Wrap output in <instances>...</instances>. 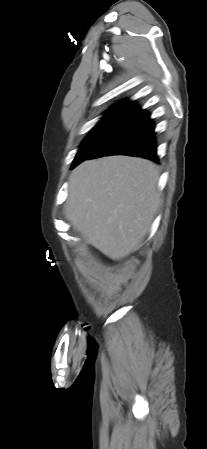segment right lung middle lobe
<instances>
[{
	"instance_id": "right-lung-middle-lobe-1",
	"label": "right lung middle lobe",
	"mask_w": 207,
	"mask_h": 449,
	"mask_svg": "<svg viewBox=\"0 0 207 449\" xmlns=\"http://www.w3.org/2000/svg\"><path fill=\"white\" fill-rule=\"evenodd\" d=\"M136 115L137 114L125 112H110L105 115L83 140L71 169L80 162L86 160L108 139L130 123Z\"/></svg>"
}]
</instances>
